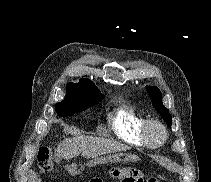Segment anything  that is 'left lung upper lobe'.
<instances>
[{
    "label": "left lung upper lobe",
    "instance_id": "obj_1",
    "mask_svg": "<svg viewBox=\"0 0 211 182\" xmlns=\"http://www.w3.org/2000/svg\"><path fill=\"white\" fill-rule=\"evenodd\" d=\"M146 90L152 100L155 109L159 112V114L167 123V125L171 127L172 118L169 113V110L163 106L162 95L159 88H157L156 86H147Z\"/></svg>",
    "mask_w": 211,
    "mask_h": 182
}]
</instances>
